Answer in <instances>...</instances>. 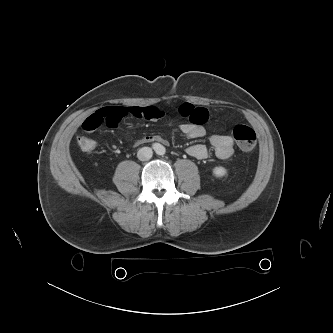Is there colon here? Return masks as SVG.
<instances>
[{"label":"colon","instance_id":"5ec220e1","mask_svg":"<svg viewBox=\"0 0 333 333\" xmlns=\"http://www.w3.org/2000/svg\"><path fill=\"white\" fill-rule=\"evenodd\" d=\"M232 135L239 148L245 152L252 151L257 142L255 131L244 124H237L232 129ZM77 144L83 152H91L95 148V141L86 136L77 138Z\"/></svg>","mask_w":333,"mask_h":333}]
</instances>
